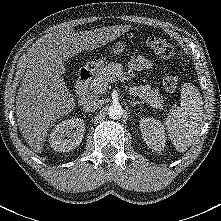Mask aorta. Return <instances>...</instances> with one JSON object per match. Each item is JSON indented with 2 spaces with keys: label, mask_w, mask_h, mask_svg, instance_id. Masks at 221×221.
<instances>
[{
  "label": "aorta",
  "mask_w": 221,
  "mask_h": 221,
  "mask_svg": "<svg viewBox=\"0 0 221 221\" xmlns=\"http://www.w3.org/2000/svg\"><path fill=\"white\" fill-rule=\"evenodd\" d=\"M108 115L111 119L117 120L120 119L123 115V108L119 104H113L108 109Z\"/></svg>",
  "instance_id": "aorta-1"
}]
</instances>
